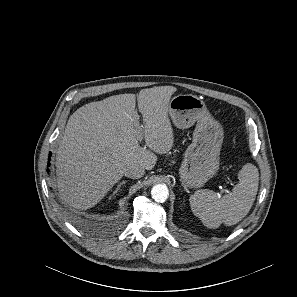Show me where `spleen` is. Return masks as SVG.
<instances>
[{
  "label": "spleen",
  "mask_w": 297,
  "mask_h": 297,
  "mask_svg": "<svg viewBox=\"0 0 297 297\" xmlns=\"http://www.w3.org/2000/svg\"><path fill=\"white\" fill-rule=\"evenodd\" d=\"M238 184L230 194L219 197L212 190H198L190 196L193 214L208 228L222 223L231 226L240 222L250 211L258 191L259 172L251 163L238 173Z\"/></svg>",
  "instance_id": "spleen-1"
}]
</instances>
